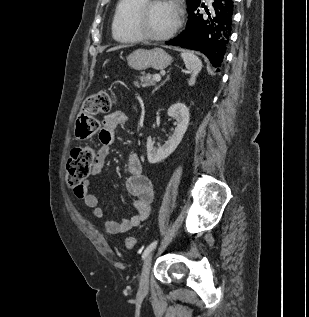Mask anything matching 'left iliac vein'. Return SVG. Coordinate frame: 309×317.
I'll list each match as a JSON object with an SVG mask.
<instances>
[{
  "label": "left iliac vein",
  "instance_id": "left-iliac-vein-1",
  "mask_svg": "<svg viewBox=\"0 0 309 317\" xmlns=\"http://www.w3.org/2000/svg\"><path fill=\"white\" fill-rule=\"evenodd\" d=\"M152 258L153 252L148 254L143 263L142 274L140 278V289L142 292H147L149 288V272L151 268Z\"/></svg>",
  "mask_w": 309,
  "mask_h": 317
}]
</instances>
